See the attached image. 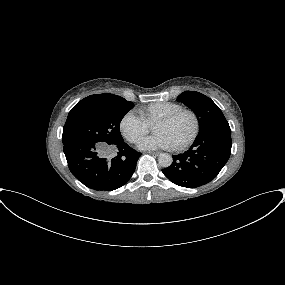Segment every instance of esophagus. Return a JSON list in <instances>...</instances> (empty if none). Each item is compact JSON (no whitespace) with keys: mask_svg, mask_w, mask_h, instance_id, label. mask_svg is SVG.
<instances>
[{"mask_svg":"<svg viewBox=\"0 0 285 285\" xmlns=\"http://www.w3.org/2000/svg\"><path fill=\"white\" fill-rule=\"evenodd\" d=\"M147 153L153 156H158L160 154L159 152H154V151H148Z\"/></svg>","mask_w":285,"mask_h":285,"instance_id":"34e87169","label":"esophagus"}]
</instances>
